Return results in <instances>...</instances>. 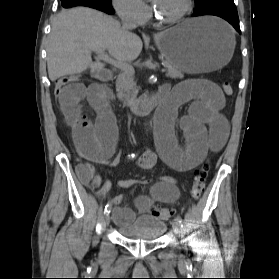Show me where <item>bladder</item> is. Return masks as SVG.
Instances as JSON below:
<instances>
[{"label":"bladder","mask_w":279,"mask_h":279,"mask_svg":"<svg viewBox=\"0 0 279 279\" xmlns=\"http://www.w3.org/2000/svg\"><path fill=\"white\" fill-rule=\"evenodd\" d=\"M167 230V224L156 217L143 215L128 225H119L117 231L121 237L131 241H156Z\"/></svg>","instance_id":"bladder-1"}]
</instances>
